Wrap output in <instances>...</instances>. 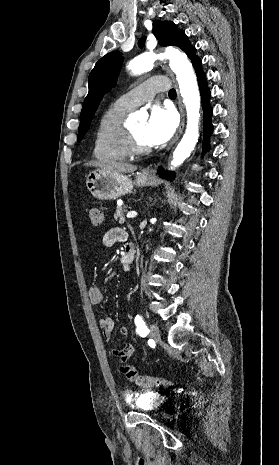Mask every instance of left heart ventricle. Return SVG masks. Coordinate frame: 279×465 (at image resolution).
Segmentation results:
<instances>
[{
  "instance_id": "1",
  "label": "left heart ventricle",
  "mask_w": 279,
  "mask_h": 465,
  "mask_svg": "<svg viewBox=\"0 0 279 465\" xmlns=\"http://www.w3.org/2000/svg\"><path fill=\"white\" fill-rule=\"evenodd\" d=\"M145 127L146 122H139L130 126V129L133 132L138 144L142 147L150 146L145 137Z\"/></svg>"
}]
</instances>
